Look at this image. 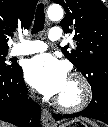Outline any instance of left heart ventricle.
<instances>
[{
	"mask_svg": "<svg viewBox=\"0 0 108 127\" xmlns=\"http://www.w3.org/2000/svg\"><path fill=\"white\" fill-rule=\"evenodd\" d=\"M79 97L77 84L68 78L63 90L57 95V98L67 103L75 102Z\"/></svg>",
	"mask_w": 108,
	"mask_h": 127,
	"instance_id": "obj_1",
	"label": "left heart ventricle"
}]
</instances>
